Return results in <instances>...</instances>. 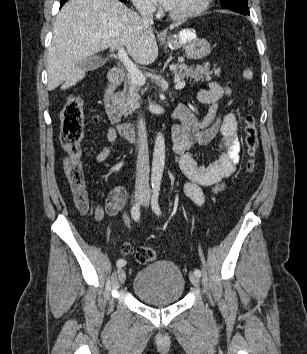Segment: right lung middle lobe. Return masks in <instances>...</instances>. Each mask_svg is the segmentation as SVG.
<instances>
[{
  "label": "right lung middle lobe",
  "mask_w": 307,
  "mask_h": 354,
  "mask_svg": "<svg viewBox=\"0 0 307 354\" xmlns=\"http://www.w3.org/2000/svg\"><path fill=\"white\" fill-rule=\"evenodd\" d=\"M120 1L124 2V1H126V0H120Z\"/></svg>",
  "instance_id": "right-lung-middle-lobe-1"
}]
</instances>
